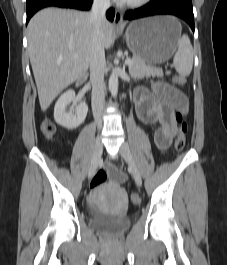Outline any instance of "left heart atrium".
<instances>
[{
    "label": "left heart atrium",
    "mask_w": 227,
    "mask_h": 265,
    "mask_svg": "<svg viewBox=\"0 0 227 265\" xmlns=\"http://www.w3.org/2000/svg\"><path fill=\"white\" fill-rule=\"evenodd\" d=\"M117 1H120V2H126L127 0H117Z\"/></svg>",
    "instance_id": "1"
}]
</instances>
